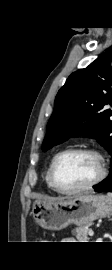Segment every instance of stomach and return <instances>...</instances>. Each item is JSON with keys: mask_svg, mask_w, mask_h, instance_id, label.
Masks as SVG:
<instances>
[{"mask_svg": "<svg viewBox=\"0 0 112 270\" xmlns=\"http://www.w3.org/2000/svg\"><path fill=\"white\" fill-rule=\"evenodd\" d=\"M35 221L44 229L61 230L70 224L84 226L112 214V199L101 194H81L63 199L36 200Z\"/></svg>", "mask_w": 112, "mask_h": 270, "instance_id": "0dacf381", "label": "stomach"}]
</instances>
